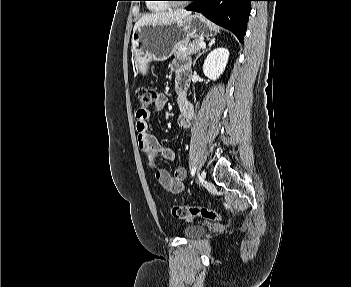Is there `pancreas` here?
Segmentation results:
<instances>
[{"instance_id":"obj_1","label":"pancreas","mask_w":351,"mask_h":287,"mask_svg":"<svg viewBox=\"0 0 351 287\" xmlns=\"http://www.w3.org/2000/svg\"><path fill=\"white\" fill-rule=\"evenodd\" d=\"M202 42L201 39H195L192 42L183 41L175 45L173 49V54L176 58H182L190 56L196 52H199L201 47L199 43Z\"/></svg>"}]
</instances>
